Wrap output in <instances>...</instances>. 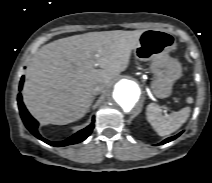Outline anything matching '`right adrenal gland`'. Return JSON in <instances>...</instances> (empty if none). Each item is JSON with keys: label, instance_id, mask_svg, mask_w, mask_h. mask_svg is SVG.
Listing matches in <instances>:
<instances>
[{"label": "right adrenal gland", "instance_id": "right-adrenal-gland-1", "mask_svg": "<svg viewBox=\"0 0 212 183\" xmlns=\"http://www.w3.org/2000/svg\"><path fill=\"white\" fill-rule=\"evenodd\" d=\"M94 99H95V97H92V98H91L90 105H89V108H88L87 112H89V111H90V107H91V105H92V103H93Z\"/></svg>", "mask_w": 212, "mask_h": 183}]
</instances>
